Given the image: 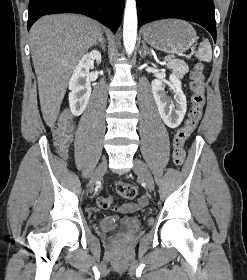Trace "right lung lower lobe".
Here are the masks:
<instances>
[{"label": "right lung lower lobe", "mask_w": 247, "mask_h": 280, "mask_svg": "<svg viewBox=\"0 0 247 280\" xmlns=\"http://www.w3.org/2000/svg\"><path fill=\"white\" fill-rule=\"evenodd\" d=\"M124 0H30L28 30L41 16L55 13H79L92 17L113 32L121 24Z\"/></svg>", "instance_id": "98d812e1"}]
</instances>
